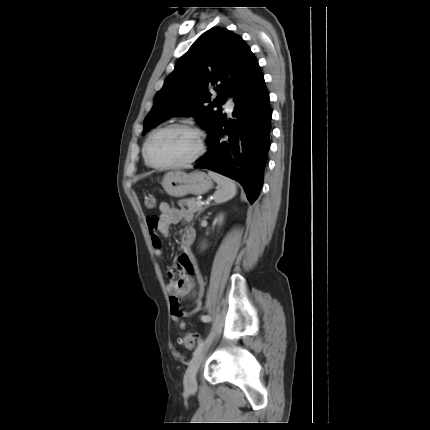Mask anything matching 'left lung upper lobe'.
Masks as SVG:
<instances>
[{
	"mask_svg": "<svg viewBox=\"0 0 430 430\" xmlns=\"http://www.w3.org/2000/svg\"><path fill=\"white\" fill-rule=\"evenodd\" d=\"M257 68V59L239 35L211 28L178 60L156 93L143 134L167 118L191 114L208 131L222 115L220 106L227 96L233 97L241 85L250 82ZM215 85L218 96L212 101L208 90Z\"/></svg>",
	"mask_w": 430,
	"mask_h": 430,
	"instance_id": "5c2ea615",
	"label": "left lung upper lobe"
}]
</instances>
